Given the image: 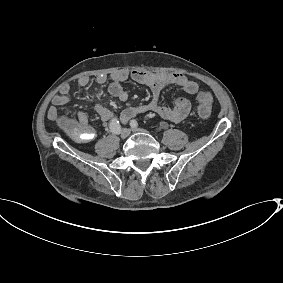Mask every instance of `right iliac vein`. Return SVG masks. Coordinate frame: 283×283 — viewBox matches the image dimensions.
<instances>
[{
    "label": "right iliac vein",
    "mask_w": 283,
    "mask_h": 283,
    "mask_svg": "<svg viewBox=\"0 0 283 283\" xmlns=\"http://www.w3.org/2000/svg\"><path fill=\"white\" fill-rule=\"evenodd\" d=\"M129 135H130V130L128 128L122 129L121 135H120L122 139L127 138Z\"/></svg>",
    "instance_id": "63e3f726"
}]
</instances>
